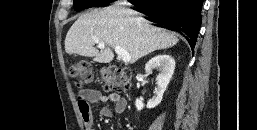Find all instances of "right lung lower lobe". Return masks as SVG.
Wrapping results in <instances>:
<instances>
[{
	"label": "right lung lower lobe",
	"instance_id": "obj_1",
	"mask_svg": "<svg viewBox=\"0 0 257 130\" xmlns=\"http://www.w3.org/2000/svg\"><path fill=\"white\" fill-rule=\"evenodd\" d=\"M203 0H163L137 5L147 20L185 36L193 49L201 26Z\"/></svg>",
	"mask_w": 257,
	"mask_h": 130
}]
</instances>
